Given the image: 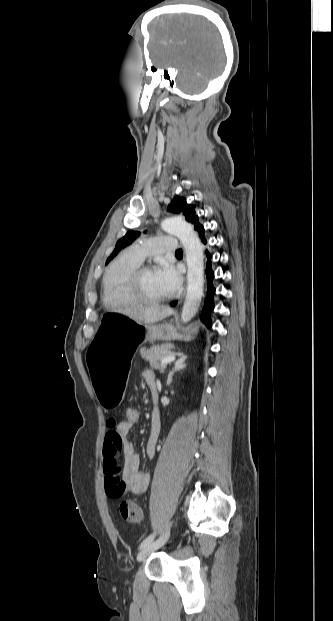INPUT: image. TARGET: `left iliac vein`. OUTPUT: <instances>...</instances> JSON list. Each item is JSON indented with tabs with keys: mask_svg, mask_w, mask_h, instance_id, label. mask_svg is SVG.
Masks as SVG:
<instances>
[{
	"mask_svg": "<svg viewBox=\"0 0 333 621\" xmlns=\"http://www.w3.org/2000/svg\"><path fill=\"white\" fill-rule=\"evenodd\" d=\"M169 538V530H166L157 540L149 543L142 548L137 555V561L140 562L146 559L151 553L163 546Z\"/></svg>",
	"mask_w": 333,
	"mask_h": 621,
	"instance_id": "1",
	"label": "left iliac vein"
}]
</instances>
